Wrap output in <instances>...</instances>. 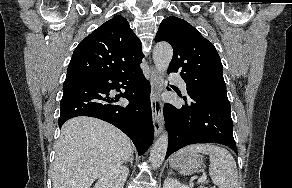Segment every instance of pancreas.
Masks as SVG:
<instances>
[{
  "label": "pancreas",
  "instance_id": "1",
  "mask_svg": "<svg viewBox=\"0 0 292 188\" xmlns=\"http://www.w3.org/2000/svg\"><path fill=\"white\" fill-rule=\"evenodd\" d=\"M199 188H207V187H204V186H200Z\"/></svg>",
  "mask_w": 292,
  "mask_h": 188
}]
</instances>
